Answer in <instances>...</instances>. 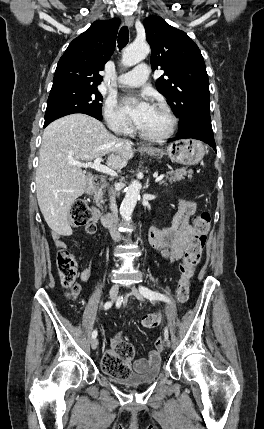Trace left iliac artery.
<instances>
[{"label": "left iliac artery", "mask_w": 264, "mask_h": 429, "mask_svg": "<svg viewBox=\"0 0 264 429\" xmlns=\"http://www.w3.org/2000/svg\"><path fill=\"white\" fill-rule=\"evenodd\" d=\"M139 290L144 297H146V294H150V297H146V298H150V300H161V301H165V302H170L168 297H166L165 295L158 293V292H155V291H152L145 286H140ZM164 336H165V339H168V329L167 328L165 329Z\"/></svg>", "instance_id": "1"}]
</instances>
